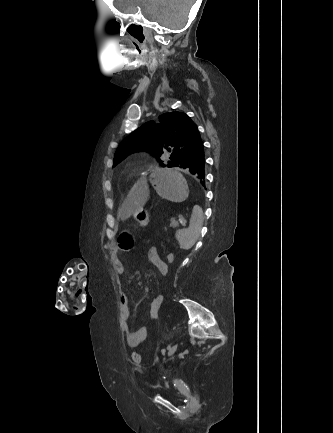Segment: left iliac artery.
Instances as JSON below:
<instances>
[{
	"instance_id": "1",
	"label": "left iliac artery",
	"mask_w": 333,
	"mask_h": 433,
	"mask_svg": "<svg viewBox=\"0 0 333 433\" xmlns=\"http://www.w3.org/2000/svg\"><path fill=\"white\" fill-rule=\"evenodd\" d=\"M170 348H171V345H168L167 347H166V349L167 350H170ZM165 350H162V352H164Z\"/></svg>"
}]
</instances>
